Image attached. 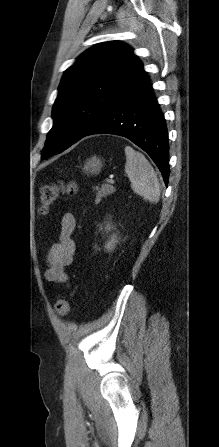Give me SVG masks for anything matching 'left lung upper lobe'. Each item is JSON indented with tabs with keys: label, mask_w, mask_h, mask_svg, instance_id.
<instances>
[{
	"label": "left lung upper lobe",
	"mask_w": 219,
	"mask_h": 447,
	"mask_svg": "<svg viewBox=\"0 0 219 447\" xmlns=\"http://www.w3.org/2000/svg\"><path fill=\"white\" fill-rule=\"evenodd\" d=\"M142 68L132 49L117 41L83 53L62 78L42 158L62 152L86 136Z\"/></svg>",
	"instance_id": "1"
}]
</instances>
